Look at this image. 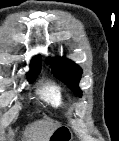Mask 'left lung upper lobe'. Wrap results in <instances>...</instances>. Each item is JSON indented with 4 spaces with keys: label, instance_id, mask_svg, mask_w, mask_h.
<instances>
[{
    "label": "left lung upper lobe",
    "instance_id": "obj_1",
    "mask_svg": "<svg viewBox=\"0 0 119 141\" xmlns=\"http://www.w3.org/2000/svg\"><path fill=\"white\" fill-rule=\"evenodd\" d=\"M47 64H51L53 74L67 84L78 96L82 91L78 87L81 77V68L66 58H49Z\"/></svg>",
    "mask_w": 119,
    "mask_h": 141
}]
</instances>
